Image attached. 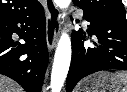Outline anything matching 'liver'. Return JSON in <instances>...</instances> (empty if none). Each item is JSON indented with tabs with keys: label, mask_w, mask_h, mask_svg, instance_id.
Wrapping results in <instances>:
<instances>
[{
	"label": "liver",
	"mask_w": 127,
	"mask_h": 92,
	"mask_svg": "<svg viewBox=\"0 0 127 92\" xmlns=\"http://www.w3.org/2000/svg\"><path fill=\"white\" fill-rule=\"evenodd\" d=\"M0 92H24L12 79L0 75Z\"/></svg>",
	"instance_id": "obj_1"
}]
</instances>
